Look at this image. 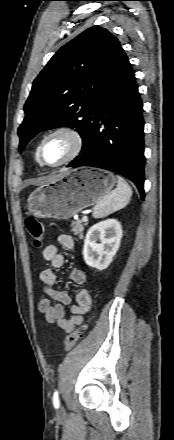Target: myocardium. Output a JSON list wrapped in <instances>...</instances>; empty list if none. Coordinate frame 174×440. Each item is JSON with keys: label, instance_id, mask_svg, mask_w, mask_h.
<instances>
[{"label": "myocardium", "instance_id": "f54148a6", "mask_svg": "<svg viewBox=\"0 0 174 440\" xmlns=\"http://www.w3.org/2000/svg\"><path fill=\"white\" fill-rule=\"evenodd\" d=\"M55 135L67 136L71 141V150L69 154L61 162L57 164H47L42 159V148L46 140H48L49 138ZM83 147H84V139L81 132L78 129L70 125H60L50 130L42 137V139L40 140L37 146L36 158L38 163L44 167L58 168L76 159L82 152Z\"/></svg>", "mask_w": 174, "mask_h": 440}]
</instances>
